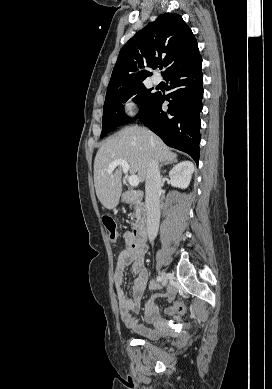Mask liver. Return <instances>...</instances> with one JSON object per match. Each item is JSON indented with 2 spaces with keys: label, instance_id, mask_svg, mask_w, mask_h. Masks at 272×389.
<instances>
[{
  "label": "liver",
  "instance_id": "obj_1",
  "mask_svg": "<svg viewBox=\"0 0 272 389\" xmlns=\"http://www.w3.org/2000/svg\"><path fill=\"white\" fill-rule=\"evenodd\" d=\"M177 155L150 130L137 125L128 126L108 139L98 150L94 161V185L101 204L111 210L115 208L122 193V170L118 168L108 174L109 165L123 159L129 164L131 174H136L140 182L146 179L151 159L163 163L176 161Z\"/></svg>",
  "mask_w": 272,
  "mask_h": 389
}]
</instances>
